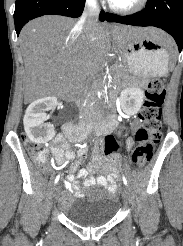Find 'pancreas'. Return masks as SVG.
Returning a JSON list of instances; mask_svg holds the SVG:
<instances>
[{
  "mask_svg": "<svg viewBox=\"0 0 183 246\" xmlns=\"http://www.w3.org/2000/svg\"><path fill=\"white\" fill-rule=\"evenodd\" d=\"M117 72L119 74H127L128 73V70H126V69H118Z\"/></svg>",
  "mask_w": 183,
  "mask_h": 246,
  "instance_id": "1",
  "label": "pancreas"
}]
</instances>
